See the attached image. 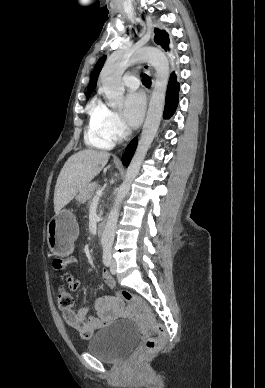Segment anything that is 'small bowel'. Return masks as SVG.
<instances>
[{"label": "small bowel", "instance_id": "obj_1", "mask_svg": "<svg viewBox=\"0 0 265 388\" xmlns=\"http://www.w3.org/2000/svg\"><path fill=\"white\" fill-rule=\"evenodd\" d=\"M76 264L77 259L73 256L55 262V267L63 272L71 291H76L81 287L80 281L67 270ZM102 280L108 287H115L116 285L114 278L107 272H103ZM91 309L96 311V315L88 316ZM121 313L122 305L117 299L110 296H103L92 300L77 311L72 309L64 310L62 318L74 332L82 338L88 339L98 329L112 322Z\"/></svg>", "mask_w": 265, "mask_h": 388}]
</instances>
